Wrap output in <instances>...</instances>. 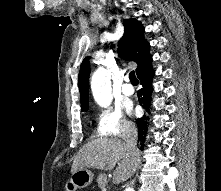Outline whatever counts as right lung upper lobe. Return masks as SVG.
<instances>
[{"label": "right lung upper lobe", "instance_id": "obj_1", "mask_svg": "<svg viewBox=\"0 0 221 191\" xmlns=\"http://www.w3.org/2000/svg\"><path fill=\"white\" fill-rule=\"evenodd\" d=\"M123 24L125 31L118 43V52L121 58L137 63L136 73L138 74L152 62V57L149 54L150 45L143 36L145 29L140 22L135 19H125ZM89 74L90 64L88 58H85L80 66L78 76L82 111L88 110Z\"/></svg>", "mask_w": 221, "mask_h": 191}]
</instances>
